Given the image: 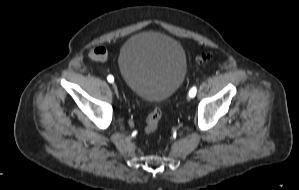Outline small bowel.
<instances>
[{"label":"small bowel","mask_w":299,"mask_h":190,"mask_svg":"<svg viewBox=\"0 0 299 190\" xmlns=\"http://www.w3.org/2000/svg\"><path fill=\"white\" fill-rule=\"evenodd\" d=\"M89 56L93 60L105 61L108 57V51L104 47H97L90 51Z\"/></svg>","instance_id":"small-bowel-1"}]
</instances>
